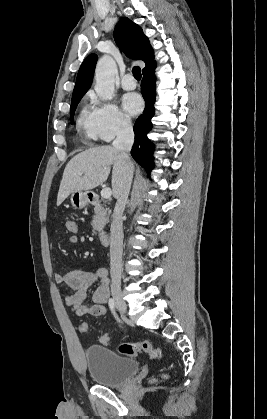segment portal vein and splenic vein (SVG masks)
I'll return each mask as SVG.
<instances>
[{
    "instance_id": "18ae733b",
    "label": "portal vein and splenic vein",
    "mask_w": 267,
    "mask_h": 419,
    "mask_svg": "<svg viewBox=\"0 0 267 419\" xmlns=\"http://www.w3.org/2000/svg\"><path fill=\"white\" fill-rule=\"evenodd\" d=\"M112 191L110 188H104L101 190V197L104 199H108L111 197Z\"/></svg>"
}]
</instances>
